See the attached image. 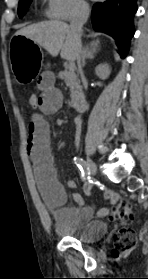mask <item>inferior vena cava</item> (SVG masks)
<instances>
[{"label":"inferior vena cava","mask_w":148,"mask_h":279,"mask_svg":"<svg viewBox=\"0 0 148 279\" xmlns=\"http://www.w3.org/2000/svg\"><path fill=\"white\" fill-rule=\"evenodd\" d=\"M90 14V9L87 4H80L76 12L71 20L70 23V29L73 33L75 39H76V59L78 64V69L81 74V78L83 83L85 82V78L81 69V56H82V50H81V35H82V28L83 25L87 22L88 17Z\"/></svg>","instance_id":"1"}]
</instances>
